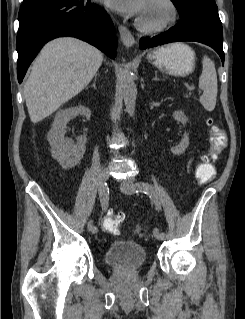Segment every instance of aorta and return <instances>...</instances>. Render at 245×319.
<instances>
[{
	"mask_svg": "<svg viewBox=\"0 0 245 319\" xmlns=\"http://www.w3.org/2000/svg\"><path fill=\"white\" fill-rule=\"evenodd\" d=\"M122 90L126 111L131 117H133L136 105L137 87L134 81V74L130 66H127L124 70L122 77Z\"/></svg>",
	"mask_w": 245,
	"mask_h": 319,
	"instance_id": "obj_1",
	"label": "aorta"
}]
</instances>
